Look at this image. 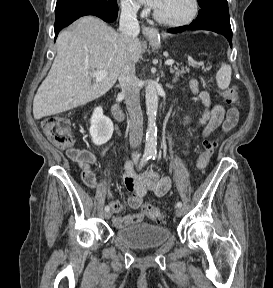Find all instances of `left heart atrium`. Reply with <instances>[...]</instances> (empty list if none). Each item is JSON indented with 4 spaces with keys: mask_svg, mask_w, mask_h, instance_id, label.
<instances>
[{
    "mask_svg": "<svg viewBox=\"0 0 273 288\" xmlns=\"http://www.w3.org/2000/svg\"><path fill=\"white\" fill-rule=\"evenodd\" d=\"M142 1L152 8H156L160 2V0H142Z\"/></svg>",
    "mask_w": 273,
    "mask_h": 288,
    "instance_id": "1",
    "label": "left heart atrium"
}]
</instances>
